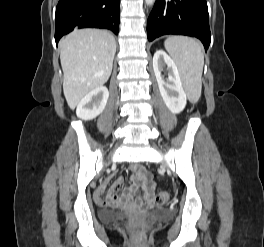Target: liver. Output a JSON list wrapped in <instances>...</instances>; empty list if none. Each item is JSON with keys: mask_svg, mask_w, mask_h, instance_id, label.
Returning a JSON list of instances; mask_svg holds the SVG:
<instances>
[{"mask_svg": "<svg viewBox=\"0 0 264 247\" xmlns=\"http://www.w3.org/2000/svg\"><path fill=\"white\" fill-rule=\"evenodd\" d=\"M63 70V92L74 109L92 90L105 84L112 72L116 42L108 31L75 30L59 44Z\"/></svg>", "mask_w": 264, "mask_h": 247, "instance_id": "obj_1", "label": "liver"}]
</instances>
